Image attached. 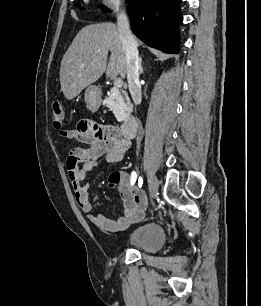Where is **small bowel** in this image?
<instances>
[{
	"mask_svg": "<svg viewBox=\"0 0 261 306\" xmlns=\"http://www.w3.org/2000/svg\"><path fill=\"white\" fill-rule=\"evenodd\" d=\"M61 135L85 146L72 147L65 166L76 203L87 214L88 220L98 229L111 234L120 233L141 220L146 205L145 198L132 189L133 184L126 173L118 172L121 176L118 182H112L109 177V184L117 188L125 209L124 215L116 220L93 213L89 185L84 183L86 174L96 166L121 162L130 146V139L125 138L115 126L88 120L79 122L76 129L62 131Z\"/></svg>",
	"mask_w": 261,
	"mask_h": 306,
	"instance_id": "small-bowel-1",
	"label": "small bowel"
}]
</instances>
